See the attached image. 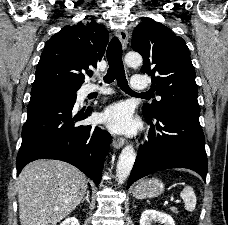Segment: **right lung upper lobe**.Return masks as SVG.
Here are the masks:
<instances>
[{"label":"right lung upper lobe","instance_id":"right-lung-upper-lobe-1","mask_svg":"<svg viewBox=\"0 0 228 225\" xmlns=\"http://www.w3.org/2000/svg\"><path fill=\"white\" fill-rule=\"evenodd\" d=\"M107 43V30L95 21L63 27L46 42L33 87L61 84L80 88L85 78L81 71L97 66Z\"/></svg>","mask_w":228,"mask_h":225}]
</instances>
